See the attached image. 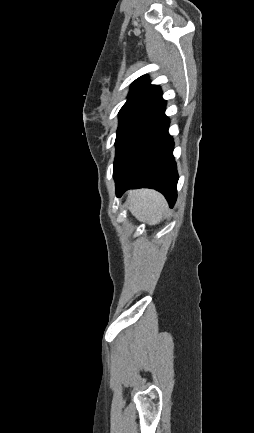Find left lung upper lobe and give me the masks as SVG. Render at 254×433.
Segmentation results:
<instances>
[{
	"label": "left lung upper lobe",
	"mask_w": 254,
	"mask_h": 433,
	"mask_svg": "<svg viewBox=\"0 0 254 433\" xmlns=\"http://www.w3.org/2000/svg\"><path fill=\"white\" fill-rule=\"evenodd\" d=\"M164 102L159 86L150 85L146 76H142L133 82L127 102L119 111L113 174L119 168L128 147L138 131Z\"/></svg>",
	"instance_id": "left-lung-upper-lobe-1"
}]
</instances>
